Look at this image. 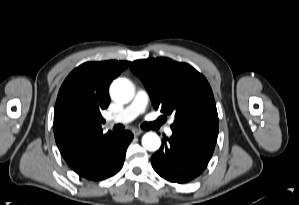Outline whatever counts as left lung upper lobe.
Listing matches in <instances>:
<instances>
[{
	"label": "left lung upper lobe",
	"mask_w": 299,
	"mask_h": 205,
	"mask_svg": "<svg viewBox=\"0 0 299 205\" xmlns=\"http://www.w3.org/2000/svg\"><path fill=\"white\" fill-rule=\"evenodd\" d=\"M130 68L144 83L154 108L175 116L172 130H218L211 87L192 66L169 58H151L134 61Z\"/></svg>",
	"instance_id": "left-lung-upper-lobe-1"
}]
</instances>
